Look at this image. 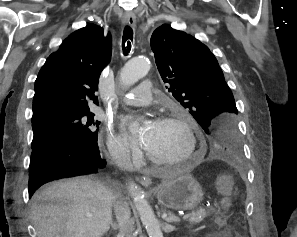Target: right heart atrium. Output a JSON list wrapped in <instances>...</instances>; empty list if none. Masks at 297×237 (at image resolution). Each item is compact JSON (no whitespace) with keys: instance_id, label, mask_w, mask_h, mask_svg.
<instances>
[{"instance_id":"d8ad5b80","label":"right heart atrium","mask_w":297,"mask_h":237,"mask_svg":"<svg viewBox=\"0 0 297 237\" xmlns=\"http://www.w3.org/2000/svg\"><path fill=\"white\" fill-rule=\"evenodd\" d=\"M107 146L109 156L120 164L136 162L138 159L137 147L122 135L115 134L111 128H109Z\"/></svg>"}]
</instances>
